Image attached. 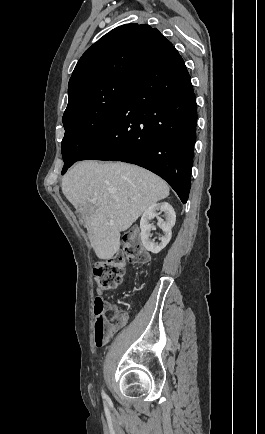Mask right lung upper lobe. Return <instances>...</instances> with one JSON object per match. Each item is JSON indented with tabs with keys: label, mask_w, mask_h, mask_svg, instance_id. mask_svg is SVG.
I'll return each instance as SVG.
<instances>
[{
	"label": "right lung upper lobe",
	"mask_w": 265,
	"mask_h": 434,
	"mask_svg": "<svg viewBox=\"0 0 265 434\" xmlns=\"http://www.w3.org/2000/svg\"><path fill=\"white\" fill-rule=\"evenodd\" d=\"M172 43L147 24H125L100 38L79 59L68 90L111 75L136 76L160 58Z\"/></svg>",
	"instance_id": "obj_1"
}]
</instances>
